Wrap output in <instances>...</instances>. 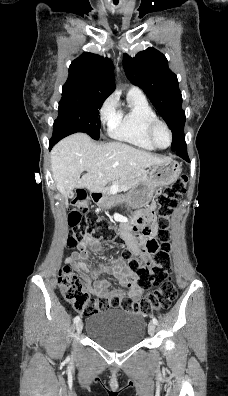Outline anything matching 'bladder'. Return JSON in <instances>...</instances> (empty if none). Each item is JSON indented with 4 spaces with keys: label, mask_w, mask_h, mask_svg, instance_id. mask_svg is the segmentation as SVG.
Instances as JSON below:
<instances>
[{
    "label": "bladder",
    "mask_w": 228,
    "mask_h": 396,
    "mask_svg": "<svg viewBox=\"0 0 228 396\" xmlns=\"http://www.w3.org/2000/svg\"><path fill=\"white\" fill-rule=\"evenodd\" d=\"M146 321L139 314L122 309H107L89 316L86 334L97 344L112 350H126L145 337Z\"/></svg>",
    "instance_id": "31cf9c89"
}]
</instances>
